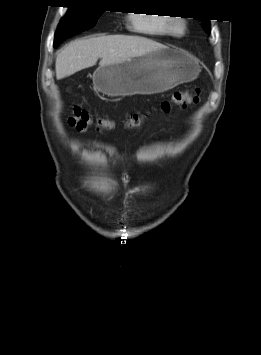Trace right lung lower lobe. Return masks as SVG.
I'll return each instance as SVG.
<instances>
[{
  "mask_svg": "<svg viewBox=\"0 0 261 355\" xmlns=\"http://www.w3.org/2000/svg\"><path fill=\"white\" fill-rule=\"evenodd\" d=\"M64 40H58V41H54V48H57Z\"/></svg>",
  "mask_w": 261,
  "mask_h": 355,
  "instance_id": "1",
  "label": "right lung lower lobe"
}]
</instances>
